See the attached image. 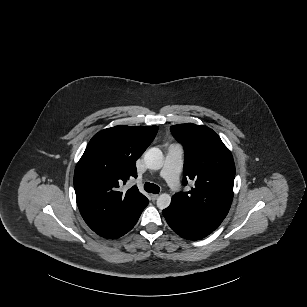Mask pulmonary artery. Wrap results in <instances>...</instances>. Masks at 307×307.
Instances as JSON below:
<instances>
[{"label": "pulmonary artery", "instance_id": "pulmonary-artery-1", "mask_svg": "<svg viewBox=\"0 0 307 307\" xmlns=\"http://www.w3.org/2000/svg\"><path fill=\"white\" fill-rule=\"evenodd\" d=\"M183 169V149L180 144L173 142L167 148L163 168L158 172H150L148 177L165 182L169 187L176 188L181 183L179 174Z\"/></svg>", "mask_w": 307, "mask_h": 307}]
</instances>
